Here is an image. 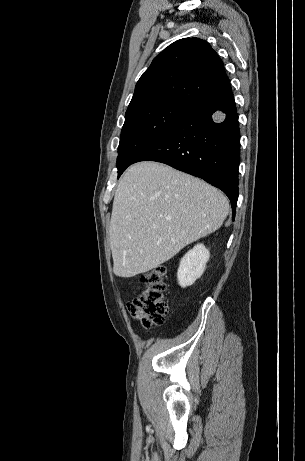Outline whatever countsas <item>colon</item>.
Masks as SVG:
<instances>
[{
  "mask_svg": "<svg viewBox=\"0 0 305 461\" xmlns=\"http://www.w3.org/2000/svg\"><path fill=\"white\" fill-rule=\"evenodd\" d=\"M166 275L167 269L163 266L147 272L143 277L142 291L127 305L130 315L145 328L163 324L168 313Z\"/></svg>",
  "mask_w": 305,
  "mask_h": 461,
  "instance_id": "obj_1",
  "label": "colon"
}]
</instances>
